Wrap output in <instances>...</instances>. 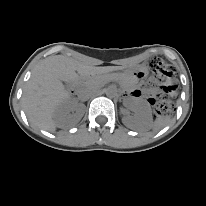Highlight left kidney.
<instances>
[{
	"label": "left kidney",
	"mask_w": 206,
	"mask_h": 206,
	"mask_svg": "<svg viewBox=\"0 0 206 206\" xmlns=\"http://www.w3.org/2000/svg\"><path fill=\"white\" fill-rule=\"evenodd\" d=\"M131 109L137 110L135 118L126 115L123 120L128 125L150 128L152 126V114L148 103L145 100L136 99L128 103Z\"/></svg>",
	"instance_id": "left-kidney-1"
}]
</instances>
